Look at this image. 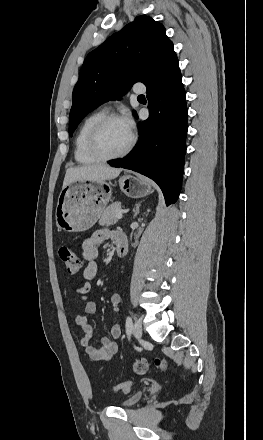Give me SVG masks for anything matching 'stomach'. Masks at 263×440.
<instances>
[{
	"label": "stomach",
	"instance_id": "obj_1",
	"mask_svg": "<svg viewBox=\"0 0 263 440\" xmlns=\"http://www.w3.org/2000/svg\"><path fill=\"white\" fill-rule=\"evenodd\" d=\"M121 191L132 198H140L152 192L148 181L133 175L119 179ZM107 183L73 181L62 188L55 212L57 226L66 232H81L91 228L102 215L111 200Z\"/></svg>",
	"mask_w": 263,
	"mask_h": 440
}]
</instances>
